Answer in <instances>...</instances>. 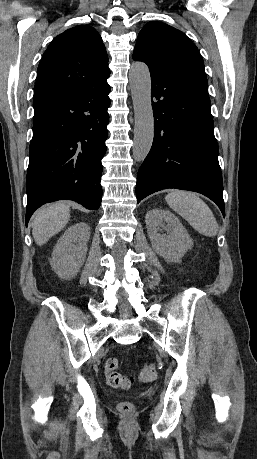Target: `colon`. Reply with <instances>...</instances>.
Listing matches in <instances>:
<instances>
[{
  "instance_id": "5ec220e1",
  "label": "colon",
  "mask_w": 257,
  "mask_h": 459,
  "mask_svg": "<svg viewBox=\"0 0 257 459\" xmlns=\"http://www.w3.org/2000/svg\"><path fill=\"white\" fill-rule=\"evenodd\" d=\"M104 372L106 380L111 387L127 389L134 383L132 377H127L118 372V360L116 358H108L104 364ZM157 371L153 363H147L140 371L139 379L142 382H152L156 379ZM119 410L123 414L130 415L134 411L131 402L124 401L119 404Z\"/></svg>"
}]
</instances>
